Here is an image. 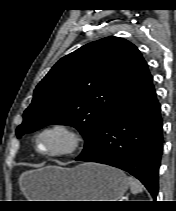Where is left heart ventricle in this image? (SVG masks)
Returning a JSON list of instances; mask_svg holds the SVG:
<instances>
[{
  "label": "left heart ventricle",
  "mask_w": 176,
  "mask_h": 211,
  "mask_svg": "<svg viewBox=\"0 0 176 211\" xmlns=\"http://www.w3.org/2000/svg\"><path fill=\"white\" fill-rule=\"evenodd\" d=\"M66 140L59 134H48L40 139V148L43 150H50L61 147L65 144Z\"/></svg>",
  "instance_id": "b2bd125f"
}]
</instances>
